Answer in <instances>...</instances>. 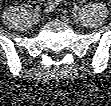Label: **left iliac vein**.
I'll return each mask as SVG.
<instances>
[{
	"instance_id": "left-iliac-vein-1",
	"label": "left iliac vein",
	"mask_w": 111,
	"mask_h": 106,
	"mask_svg": "<svg viewBox=\"0 0 111 106\" xmlns=\"http://www.w3.org/2000/svg\"><path fill=\"white\" fill-rule=\"evenodd\" d=\"M72 17H73L74 20H78L79 19L77 14H73Z\"/></svg>"
}]
</instances>
